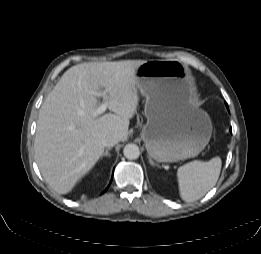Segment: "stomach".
Wrapping results in <instances>:
<instances>
[{
  "label": "stomach",
  "instance_id": "obj_1",
  "mask_svg": "<svg viewBox=\"0 0 261 254\" xmlns=\"http://www.w3.org/2000/svg\"><path fill=\"white\" fill-rule=\"evenodd\" d=\"M135 77L146 99L141 138L148 154L159 163L197 156L211 138L212 124L193 104L194 85L186 67L176 60H150L138 67Z\"/></svg>",
  "mask_w": 261,
  "mask_h": 254
}]
</instances>
